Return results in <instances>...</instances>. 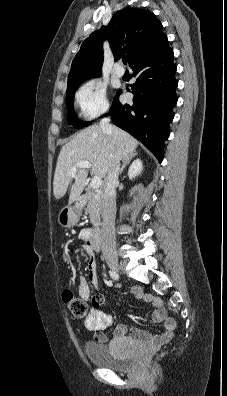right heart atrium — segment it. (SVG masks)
Returning a JSON list of instances; mask_svg holds the SVG:
<instances>
[{
  "instance_id": "right-heart-atrium-1",
  "label": "right heart atrium",
  "mask_w": 227,
  "mask_h": 396,
  "mask_svg": "<svg viewBox=\"0 0 227 396\" xmlns=\"http://www.w3.org/2000/svg\"><path fill=\"white\" fill-rule=\"evenodd\" d=\"M75 100L86 120L95 119L109 110L106 88L95 80L85 82L77 91Z\"/></svg>"
}]
</instances>
